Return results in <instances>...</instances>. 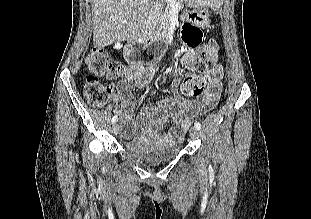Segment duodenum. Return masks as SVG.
<instances>
[{
  "instance_id": "410a0bca",
  "label": "duodenum",
  "mask_w": 311,
  "mask_h": 219,
  "mask_svg": "<svg viewBox=\"0 0 311 219\" xmlns=\"http://www.w3.org/2000/svg\"><path fill=\"white\" fill-rule=\"evenodd\" d=\"M159 31L153 28L143 30L142 34L135 39L129 46L127 58L132 63L140 62L143 54L152 55L164 49L168 39L165 36H160ZM155 43V48H150L151 44ZM144 49L147 52H144Z\"/></svg>"
}]
</instances>
